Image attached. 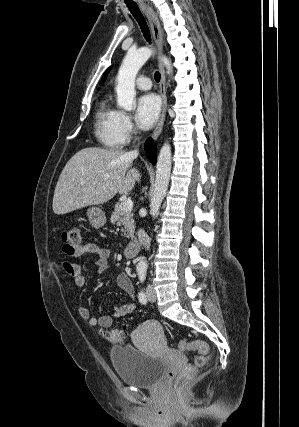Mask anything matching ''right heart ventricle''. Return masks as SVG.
<instances>
[{"label": "right heart ventricle", "mask_w": 299, "mask_h": 427, "mask_svg": "<svg viewBox=\"0 0 299 427\" xmlns=\"http://www.w3.org/2000/svg\"><path fill=\"white\" fill-rule=\"evenodd\" d=\"M120 111L105 96L99 103L95 115V135L98 141L108 149H119L122 141L119 134L118 122Z\"/></svg>", "instance_id": "1"}]
</instances>
